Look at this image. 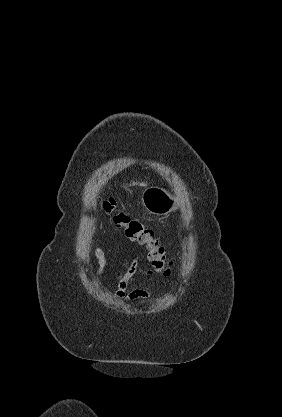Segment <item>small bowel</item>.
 Wrapping results in <instances>:
<instances>
[{"label":"small bowel","instance_id":"obj_1","mask_svg":"<svg viewBox=\"0 0 282 417\" xmlns=\"http://www.w3.org/2000/svg\"><path fill=\"white\" fill-rule=\"evenodd\" d=\"M94 256L98 262V268L96 271L97 277H100L105 270L107 264V258L104 251L100 247L94 249ZM124 270L117 278V290L115 296L117 299L125 300L131 304H139L143 300L148 299L151 294L150 291L145 288L128 289L129 282L133 275L137 272L138 262L136 259L125 260L123 263ZM145 275L149 278L153 276V272L150 269L145 270Z\"/></svg>","mask_w":282,"mask_h":417}]
</instances>
